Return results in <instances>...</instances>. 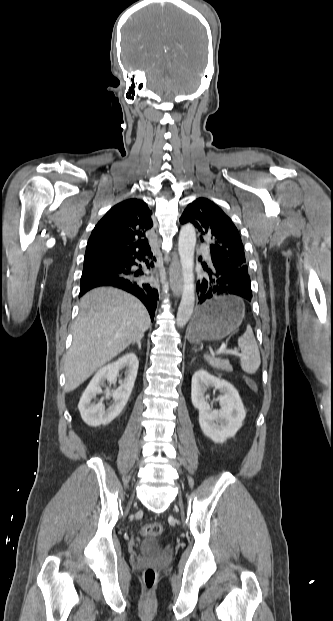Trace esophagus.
Wrapping results in <instances>:
<instances>
[{"label": "esophagus", "instance_id": "obj_1", "mask_svg": "<svg viewBox=\"0 0 333 621\" xmlns=\"http://www.w3.org/2000/svg\"><path fill=\"white\" fill-rule=\"evenodd\" d=\"M169 276L172 292L174 296L178 297L182 292V276L177 255L173 256V259L169 266Z\"/></svg>", "mask_w": 333, "mask_h": 621}]
</instances>
